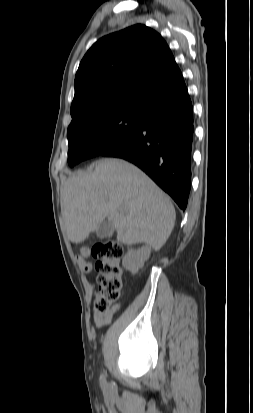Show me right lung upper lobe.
I'll return each mask as SVG.
<instances>
[{
    "instance_id": "right-lung-upper-lobe-1",
    "label": "right lung upper lobe",
    "mask_w": 253,
    "mask_h": 413,
    "mask_svg": "<svg viewBox=\"0 0 253 413\" xmlns=\"http://www.w3.org/2000/svg\"><path fill=\"white\" fill-rule=\"evenodd\" d=\"M188 91L165 40L137 24L99 39L80 62L72 120L109 107L148 110L179 101Z\"/></svg>"
}]
</instances>
